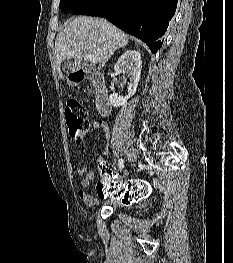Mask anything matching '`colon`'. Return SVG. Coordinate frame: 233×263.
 <instances>
[{"instance_id":"colon-1","label":"colon","mask_w":233,"mask_h":263,"mask_svg":"<svg viewBox=\"0 0 233 263\" xmlns=\"http://www.w3.org/2000/svg\"><path fill=\"white\" fill-rule=\"evenodd\" d=\"M66 124L71 138L80 142L83 140L88 131L87 112L83 106L76 101H70L65 109ZM101 182L94 188L96 195H112V198H117L119 202H124V208H134L135 204L132 199H152L150 187L152 182H144V178H127L126 186L122 190H111L114 186L116 175L114 171H99ZM143 202L139 201L136 204L137 208L143 207Z\"/></svg>"}]
</instances>
